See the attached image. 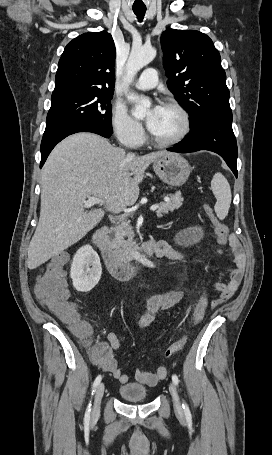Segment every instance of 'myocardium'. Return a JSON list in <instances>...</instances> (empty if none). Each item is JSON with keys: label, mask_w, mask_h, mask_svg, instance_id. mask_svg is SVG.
<instances>
[{"label": "myocardium", "mask_w": 272, "mask_h": 455, "mask_svg": "<svg viewBox=\"0 0 272 455\" xmlns=\"http://www.w3.org/2000/svg\"><path fill=\"white\" fill-rule=\"evenodd\" d=\"M163 106L170 107L179 113V115L181 117V121H182L181 130L179 131V133L176 136H174L171 139H167V140L159 139V138L155 137L151 132L150 139H151V142L158 147H171V146H174V145L180 143L187 137V135L189 134V132L191 130V119H190V115H189L188 111L185 109V107L182 106L179 102H177L175 100H166L163 103Z\"/></svg>", "instance_id": "obj_1"}]
</instances>
